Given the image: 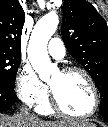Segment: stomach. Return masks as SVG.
I'll use <instances>...</instances> for the list:
<instances>
[{
  "mask_svg": "<svg viewBox=\"0 0 108 127\" xmlns=\"http://www.w3.org/2000/svg\"><path fill=\"white\" fill-rule=\"evenodd\" d=\"M81 127H96V125L91 123V124L88 125V126H81Z\"/></svg>",
  "mask_w": 108,
  "mask_h": 127,
  "instance_id": "1",
  "label": "stomach"
}]
</instances>
